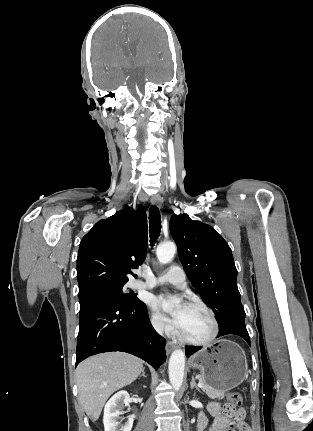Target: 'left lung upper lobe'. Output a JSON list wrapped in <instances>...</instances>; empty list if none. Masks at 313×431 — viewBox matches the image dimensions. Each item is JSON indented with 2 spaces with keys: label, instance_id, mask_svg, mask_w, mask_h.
Segmentation results:
<instances>
[{
  "label": "left lung upper lobe",
  "instance_id": "left-lung-upper-lobe-1",
  "mask_svg": "<svg viewBox=\"0 0 313 431\" xmlns=\"http://www.w3.org/2000/svg\"><path fill=\"white\" fill-rule=\"evenodd\" d=\"M170 231L192 286L215 313L219 327L245 320L237 269L227 242L213 227L185 214L172 217Z\"/></svg>",
  "mask_w": 313,
  "mask_h": 431
}]
</instances>
